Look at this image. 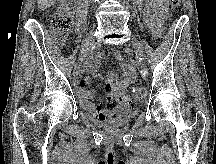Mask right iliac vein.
Segmentation results:
<instances>
[{"instance_id": "1", "label": "right iliac vein", "mask_w": 216, "mask_h": 164, "mask_svg": "<svg viewBox=\"0 0 216 164\" xmlns=\"http://www.w3.org/2000/svg\"><path fill=\"white\" fill-rule=\"evenodd\" d=\"M93 41V35L90 34L83 42L82 48H81V52H80V56H79V64L76 67V70H80L82 67V64L86 58L87 52L92 44Z\"/></svg>"}]
</instances>
